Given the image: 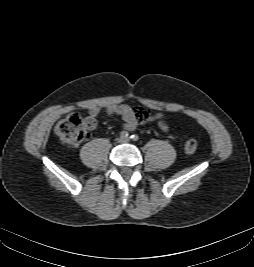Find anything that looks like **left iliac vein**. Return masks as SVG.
<instances>
[{"label": "left iliac vein", "instance_id": "4c4485c4", "mask_svg": "<svg viewBox=\"0 0 254 267\" xmlns=\"http://www.w3.org/2000/svg\"><path fill=\"white\" fill-rule=\"evenodd\" d=\"M128 141H129L128 138H124V139L122 140V142H128Z\"/></svg>", "mask_w": 254, "mask_h": 267}]
</instances>
